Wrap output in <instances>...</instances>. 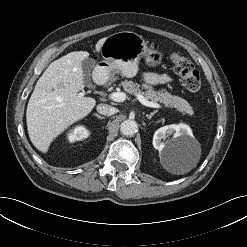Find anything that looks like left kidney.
<instances>
[{"instance_id": "5707ae66", "label": "left kidney", "mask_w": 247, "mask_h": 247, "mask_svg": "<svg viewBox=\"0 0 247 247\" xmlns=\"http://www.w3.org/2000/svg\"><path fill=\"white\" fill-rule=\"evenodd\" d=\"M171 135L173 137L170 140L163 141ZM196 143L192 130L185 124L164 126L153 136V146L159 151L161 157L183 158L189 154Z\"/></svg>"}]
</instances>
